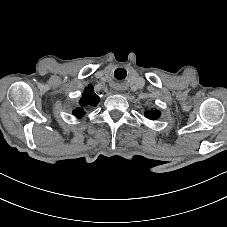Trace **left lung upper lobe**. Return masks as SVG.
<instances>
[{"instance_id": "1", "label": "left lung upper lobe", "mask_w": 227, "mask_h": 227, "mask_svg": "<svg viewBox=\"0 0 227 227\" xmlns=\"http://www.w3.org/2000/svg\"><path fill=\"white\" fill-rule=\"evenodd\" d=\"M145 115H146L147 118L154 120V119H157L160 116V113H159V111L151 110V111H147L145 113Z\"/></svg>"}]
</instances>
